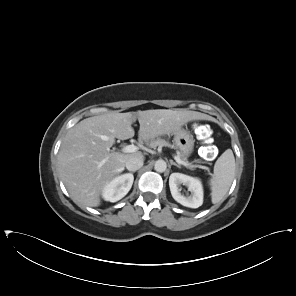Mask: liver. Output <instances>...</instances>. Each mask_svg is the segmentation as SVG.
Here are the masks:
<instances>
[{"label": "liver", "mask_w": 296, "mask_h": 296, "mask_svg": "<svg viewBox=\"0 0 296 296\" xmlns=\"http://www.w3.org/2000/svg\"><path fill=\"white\" fill-rule=\"evenodd\" d=\"M136 119L139 142H149L178 131L189 121L211 117L196 111L153 109L110 112L80 121L67 132L58 154L60 177L75 203L99 206L104 186L124 170L127 160L144 158L141 152L125 154L110 149L115 138L126 140L135 135L131 125Z\"/></svg>", "instance_id": "obj_1"}]
</instances>
